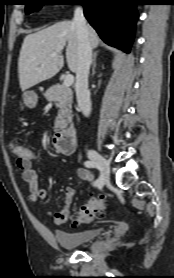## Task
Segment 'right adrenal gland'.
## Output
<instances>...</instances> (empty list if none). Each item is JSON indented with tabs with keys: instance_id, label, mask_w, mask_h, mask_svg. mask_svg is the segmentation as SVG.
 Here are the masks:
<instances>
[{
	"instance_id": "1",
	"label": "right adrenal gland",
	"mask_w": 174,
	"mask_h": 278,
	"mask_svg": "<svg viewBox=\"0 0 174 278\" xmlns=\"http://www.w3.org/2000/svg\"><path fill=\"white\" fill-rule=\"evenodd\" d=\"M96 56H97V52L94 53L93 55V67H92V75L95 74V68H96Z\"/></svg>"
}]
</instances>
